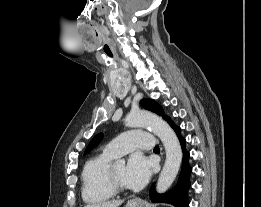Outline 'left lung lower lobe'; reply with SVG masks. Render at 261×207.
Masks as SVG:
<instances>
[{
    "instance_id": "0a47b994",
    "label": "left lung lower lobe",
    "mask_w": 261,
    "mask_h": 207,
    "mask_svg": "<svg viewBox=\"0 0 261 207\" xmlns=\"http://www.w3.org/2000/svg\"><path fill=\"white\" fill-rule=\"evenodd\" d=\"M171 127L176 132L179 141L181 143V147L183 150V160H182V168L178 178V182L175 187L166 194H158L155 191L154 184L150 189V198L151 201L154 203H169L174 205L175 207H187L189 204L188 200V190L190 189V174L192 172V168L189 165V152L185 149L186 140L181 136V129L180 127L176 126L175 124L171 125Z\"/></svg>"
}]
</instances>
